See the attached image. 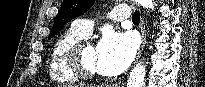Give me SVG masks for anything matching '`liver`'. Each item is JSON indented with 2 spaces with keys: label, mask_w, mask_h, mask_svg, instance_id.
Wrapping results in <instances>:
<instances>
[{
  "label": "liver",
  "mask_w": 205,
  "mask_h": 87,
  "mask_svg": "<svg viewBox=\"0 0 205 87\" xmlns=\"http://www.w3.org/2000/svg\"><path fill=\"white\" fill-rule=\"evenodd\" d=\"M67 87H84V86H77V85H69V86H67Z\"/></svg>",
  "instance_id": "1"
}]
</instances>
